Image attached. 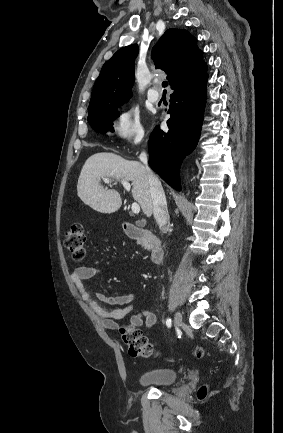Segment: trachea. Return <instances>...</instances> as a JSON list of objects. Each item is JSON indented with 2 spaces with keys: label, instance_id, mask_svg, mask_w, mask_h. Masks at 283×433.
I'll use <instances>...</instances> for the list:
<instances>
[{
  "label": "trachea",
  "instance_id": "obj_1",
  "mask_svg": "<svg viewBox=\"0 0 283 433\" xmlns=\"http://www.w3.org/2000/svg\"><path fill=\"white\" fill-rule=\"evenodd\" d=\"M167 85H168V82H163V83H162V87H163V88H166ZM164 93H166V90H164Z\"/></svg>",
  "mask_w": 283,
  "mask_h": 433
}]
</instances>
